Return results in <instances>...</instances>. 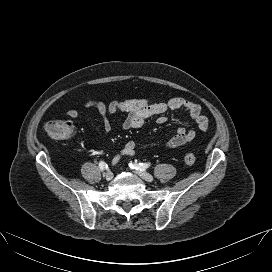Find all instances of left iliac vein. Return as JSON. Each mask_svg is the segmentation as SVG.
Returning <instances> with one entry per match:
<instances>
[{"label": "left iliac vein", "mask_w": 272, "mask_h": 272, "mask_svg": "<svg viewBox=\"0 0 272 272\" xmlns=\"http://www.w3.org/2000/svg\"><path fill=\"white\" fill-rule=\"evenodd\" d=\"M136 174H138L145 181L152 182L154 180L153 176L147 172L136 171Z\"/></svg>", "instance_id": "obj_1"}]
</instances>
